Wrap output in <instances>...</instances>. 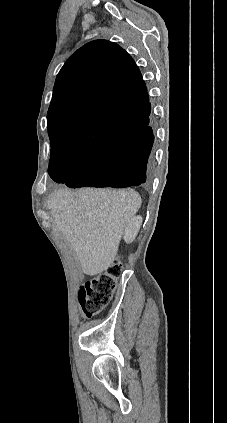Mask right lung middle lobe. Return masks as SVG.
Listing matches in <instances>:
<instances>
[{
	"label": "right lung middle lobe",
	"mask_w": 227,
	"mask_h": 423,
	"mask_svg": "<svg viewBox=\"0 0 227 423\" xmlns=\"http://www.w3.org/2000/svg\"><path fill=\"white\" fill-rule=\"evenodd\" d=\"M85 154L84 152H79L60 144L51 143L50 163L59 160H67L68 163H72V166H74L72 170L74 171Z\"/></svg>",
	"instance_id": "dd1d6c3e"
}]
</instances>
